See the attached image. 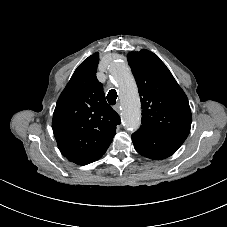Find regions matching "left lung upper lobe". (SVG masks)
I'll use <instances>...</instances> for the list:
<instances>
[{"label":"left lung upper lobe","mask_w":227,"mask_h":227,"mask_svg":"<svg viewBox=\"0 0 227 227\" xmlns=\"http://www.w3.org/2000/svg\"><path fill=\"white\" fill-rule=\"evenodd\" d=\"M128 62L139 90L141 127L152 129L183 144L192 123L184 91L165 64L151 51L143 49L130 52Z\"/></svg>","instance_id":"left-lung-upper-lobe-1"}]
</instances>
